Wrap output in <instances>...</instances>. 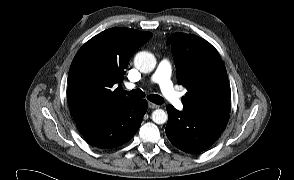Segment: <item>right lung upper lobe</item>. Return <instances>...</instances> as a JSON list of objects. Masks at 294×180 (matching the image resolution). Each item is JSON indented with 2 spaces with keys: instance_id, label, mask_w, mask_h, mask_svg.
Instances as JSON below:
<instances>
[{
  "instance_id": "1",
  "label": "right lung upper lobe",
  "mask_w": 294,
  "mask_h": 180,
  "mask_svg": "<svg viewBox=\"0 0 294 180\" xmlns=\"http://www.w3.org/2000/svg\"><path fill=\"white\" fill-rule=\"evenodd\" d=\"M153 35L129 28H110L86 42L68 75L67 101L74 121L103 114L129 100L114 84L123 81L133 52Z\"/></svg>"
}]
</instances>
